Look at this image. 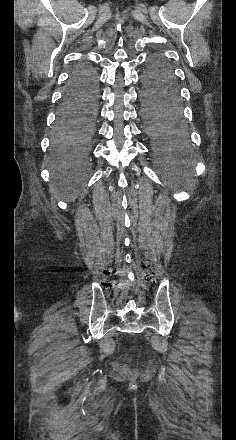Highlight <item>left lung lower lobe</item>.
Instances as JSON below:
<instances>
[{
	"instance_id": "1",
	"label": "left lung lower lobe",
	"mask_w": 236,
	"mask_h": 440,
	"mask_svg": "<svg viewBox=\"0 0 236 440\" xmlns=\"http://www.w3.org/2000/svg\"><path fill=\"white\" fill-rule=\"evenodd\" d=\"M141 94L145 132L158 144L183 141L180 90L172 68L162 57L150 60Z\"/></svg>"
}]
</instances>
